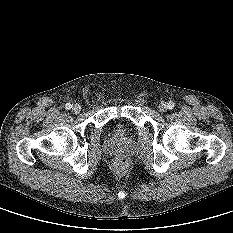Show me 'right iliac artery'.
<instances>
[{"instance_id": "obj_1", "label": "right iliac artery", "mask_w": 233, "mask_h": 233, "mask_svg": "<svg viewBox=\"0 0 233 233\" xmlns=\"http://www.w3.org/2000/svg\"><path fill=\"white\" fill-rule=\"evenodd\" d=\"M65 108H66L67 110H69V109L72 108V105H71L70 103H67V104L65 105Z\"/></svg>"}]
</instances>
